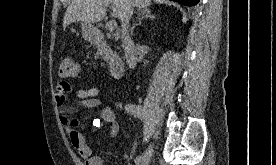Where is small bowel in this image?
I'll return each mask as SVG.
<instances>
[{"mask_svg": "<svg viewBox=\"0 0 276 165\" xmlns=\"http://www.w3.org/2000/svg\"><path fill=\"white\" fill-rule=\"evenodd\" d=\"M70 92H72L71 85L64 81L58 83L55 88L54 97L59 110L61 124L71 145L83 159L84 165H103L102 159L94 154L91 147L86 143L84 136L78 130L80 122L76 118L75 112L80 107L95 109L98 112V116L92 120V127H99L102 123L109 124L110 138H115L119 132V124L116 120L115 112L110 106L104 105L98 99L100 89L96 86L75 90L74 95L78 99L75 104L68 102V94Z\"/></svg>", "mask_w": 276, "mask_h": 165, "instance_id": "c3829d8e", "label": "small bowel"}]
</instances>
